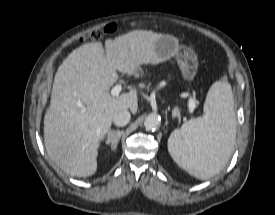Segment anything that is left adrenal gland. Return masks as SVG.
<instances>
[{
	"mask_svg": "<svg viewBox=\"0 0 275 215\" xmlns=\"http://www.w3.org/2000/svg\"><path fill=\"white\" fill-rule=\"evenodd\" d=\"M172 118L173 119L178 118V120L180 121V111H179L178 107H175L172 110Z\"/></svg>",
	"mask_w": 275,
	"mask_h": 215,
	"instance_id": "obj_1",
	"label": "left adrenal gland"
}]
</instances>
